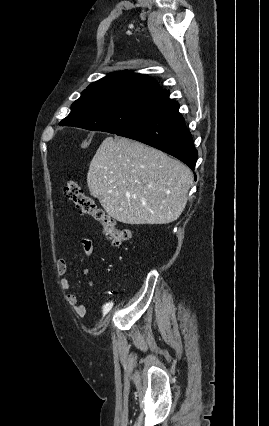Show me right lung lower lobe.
I'll list each match as a JSON object with an SVG mask.
<instances>
[{"label": "right lung lower lobe", "instance_id": "1", "mask_svg": "<svg viewBox=\"0 0 269 426\" xmlns=\"http://www.w3.org/2000/svg\"><path fill=\"white\" fill-rule=\"evenodd\" d=\"M116 134L162 150L191 169L195 167L198 152L184 118L179 113V104L169 99V91L163 93L155 107L142 120Z\"/></svg>", "mask_w": 269, "mask_h": 426}]
</instances>
